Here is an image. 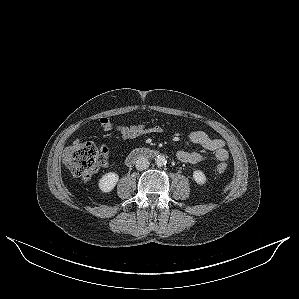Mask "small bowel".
<instances>
[{"instance_id":"obj_1","label":"small bowel","mask_w":299,"mask_h":299,"mask_svg":"<svg viewBox=\"0 0 299 299\" xmlns=\"http://www.w3.org/2000/svg\"><path fill=\"white\" fill-rule=\"evenodd\" d=\"M100 124L102 128L106 131L116 130L122 139H135L140 136L150 135V134H159L163 132L162 127L158 125L154 126H146L145 124H133L130 126H126L123 124H114L108 118H101ZM189 139L191 142L200 145L206 150L212 151L215 155V158L219 161H225L228 159L229 154L225 148V142L219 138H211L204 131L194 130L190 132ZM76 141L75 143H77ZM100 150L103 155L106 157V161L103 166L107 165V159L109 154V149L107 144H102L100 146ZM176 157L179 161L188 163V164H197L202 162L205 159V155L200 152H190L185 150H179L176 153Z\"/></svg>"}]
</instances>
